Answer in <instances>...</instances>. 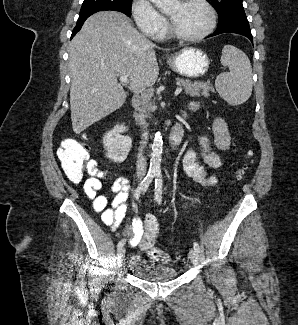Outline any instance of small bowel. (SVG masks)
<instances>
[{
	"label": "small bowel",
	"instance_id": "small-bowel-1",
	"mask_svg": "<svg viewBox=\"0 0 298 325\" xmlns=\"http://www.w3.org/2000/svg\"><path fill=\"white\" fill-rule=\"evenodd\" d=\"M213 134L217 148L227 150L230 146V133L226 122L221 117H216L213 122ZM202 157L211 168H219L222 164L219 155L209 149L202 152ZM183 168L189 177L202 185H215L218 182L215 176L207 175L205 168L196 160V154L192 150L184 156ZM107 175V170L97 167L89 173L83 184V189L87 198L92 201L94 211L101 214L102 222L115 231L126 216L130 186L127 178L117 177L112 182L110 193L113 197L109 200L106 195L98 194L103 188V180ZM127 230L131 236L130 244L138 245L143 235L140 218H133Z\"/></svg>",
	"mask_w": 298,
	"mask_h": 325
}]
</instances>
